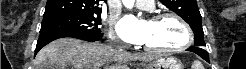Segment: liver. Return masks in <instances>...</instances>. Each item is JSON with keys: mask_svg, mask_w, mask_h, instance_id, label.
Returning a JSON list of instances; mask_svg holds the SVG:
<instances>
[{"mask_svg": "<svg viewBox=\"0 0 246 69\" xmlns=\"http://www.w3.org/2000/svg\"><path fill=\"white\" fill-rule=\"evenodd\" d=\"M155 56L131 54L100 43H86L74 38H62L42 48L34 60V69H127L113 62L151 61Z\"/></svg>", "mask_w": 246, "mask_h": 69, "instance_id": "obj_1", "label": "liver"}]
</instances>
